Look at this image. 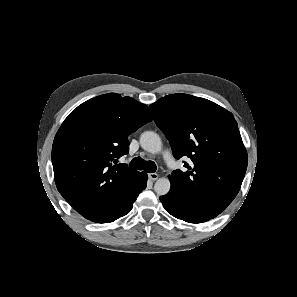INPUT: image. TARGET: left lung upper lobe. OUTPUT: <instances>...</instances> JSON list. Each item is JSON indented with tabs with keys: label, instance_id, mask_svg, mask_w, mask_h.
<instances>
[{
	"label": "left lung upper lobe",
	"instance_id": "5c2ea615",
	"mask_svg": "<svg viewBox=\"0 0 297 297\" xmlns=\"http://www.w3.org/2000/svg\"><path fill=\"white\" fill-rule=\"evenodd\" d=\"M176 159L187 156L186 172L169 175L170 192L203 214L216 217L240 190L247 152L232 113L204 98L183 93L150 105Z\"/></svg>",
	"mask_w": 297,
	"mask_h": 297
}]
</instances>
